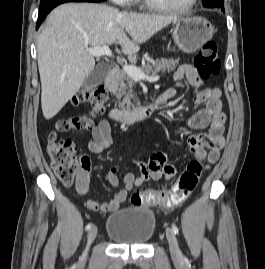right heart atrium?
<instances>
[{"label": "right heart atrium", "instance_id": "right-heart-atrium-1", "mask_svg": "<svg viewBox=\"0 0 265 269\" xmlns=\"http://www.w3.org/2000/svg\"><path fill=\"white\" fill-rule=\"evenodd\" d=\"M110 1H112L116 5H128L134 0H110Z\"/></svg>", "mask_w": 265, "mask_h": 269}]
</instances>
